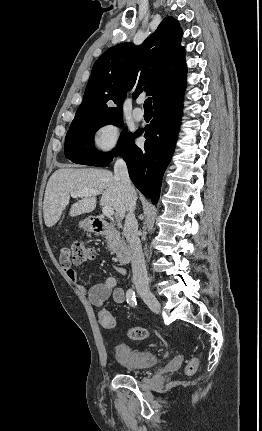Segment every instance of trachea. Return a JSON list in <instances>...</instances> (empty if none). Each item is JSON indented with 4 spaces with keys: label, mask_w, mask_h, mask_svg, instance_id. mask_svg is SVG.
Segmentation results:
<instances>
[{
    "label": "trachea",
    "mask_w": 262,
    "mask_h": 431,
    "mask_svg": "<svg viewBox=\"0 0 262 431\" xmlns=\"http://www.w3.org/2000/svg\"><path fill=\"white\" fill-rule=\"evenodd\" d=\"M144 110H152V99L151 97L147 98L144 102Z\"/></svg>",
    "instance_id": "1"
}]
</instances>
